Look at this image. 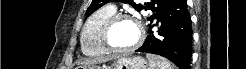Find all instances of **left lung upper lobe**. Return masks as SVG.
<instances>
[{
	"label": "left lung upper lobe",
	"instance_id": "5c2ea615",
	"mask_svg": "<svg viewBox=\"0 0 246 69\" xmlns=\"http://www.w3.org/2000/svg\"><path fill=\"white\" fill-rule=\"evenodd\" d=\"M111 1L129 3L137 11H141L142 9L152 10L154 14L150 17H147V20H150L151 22L154 21L160 15V13L165 10L166 7L172 2V0H150L149 2L145 3V6H143L141 4H136L133 0H92L91 5L87 9L86 16H90L95 10Z\"/></svg>",
	"mask_w": 246,
	"mask_h": 69
}]
</instances>
